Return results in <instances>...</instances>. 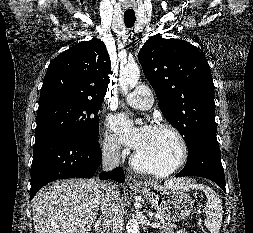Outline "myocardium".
Returning <instances> with one entry per match:
<instances>
[{
  "instance_id": "obj_1",
  "label": "myocardium",
  "mask_w": 253,
  "mask_h": 233,
  "mask_svg": "<svg viewBox=\"0 0 253 233\" xmlns=\"http://www.w3.org/2000/svg\"><path fill=\"white\" fill-rule=\"evenodd\" d=\"M152 129L168 131L172 135H174L180 146V156L178 161L170 168L162 170L143 164L142 162L139 161L136 153H134L131 158V164L133 168L145 174L159 177L169 176L174 172H176L177 170L181 169L186 164L189 157L188 143L182 132L177 127H175L170 123L166 122L157 123L152 127Z\"/></svg>"
}]
</instances>
